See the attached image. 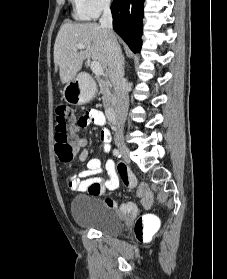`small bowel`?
Instances as JSON below:
<instances>
[{"label":"small bowel","mask_w":227,"mask_h":279,"mask_svg":"<svg viewBox=\"0 0 227 279\" xmlns=\"http://www.w3.org/2000/svg\"><path fill=\"white\" fill-rule=\"evenodd\" d=\"M90 123L102 127L100 139L103 144V151L110 153L112 138L110 130L105 126L106 119L102 111L89 109L80 126L84 127ZM75 144L79 148H84L88 144V140L81 130L76 133ZM78 158L80 162L86 163V168L79 173L67 175L66 182L71 191H91L89 188L91 183L99 184L101 190L113 191L119 186L121 180L124 186L136 188L137 196L140 199V208L134 204H117L115 200L107 198L104 203L109 209L120 214L135 215L140 209L148 210L151 208L153 199L149 187L146 184L137 186L136 179L132 173L121 174V178H119L116 164L112 159H107L103 165L101 157L94 156L90 158L86 149L79 152ZM104 173L107 175L106 178L101 176Z\"/></svg>","instance_id":"c3829d8e"}]
</instances>
